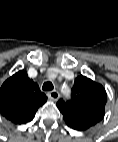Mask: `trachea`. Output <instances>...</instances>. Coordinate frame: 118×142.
Segmentation results:
<instances>
[{
	"label": "trachea",
	"instance_id": "trachea-1",
	"mask_svg": "<svg viewBox=\"0 0 118 142\" xmlns=\"http://www.w3.org/2000/svg\"><path fill=\"white\" fill-rule=\"evenodd\" d=\"M53 84L51 83V82H49V81H47V82H45L44 84H43V86H42V89L44 90V91H51V90H53Z\"/></svg>",
	"mask_w": 118,
	"mask_h": 142
}]
</instances>
